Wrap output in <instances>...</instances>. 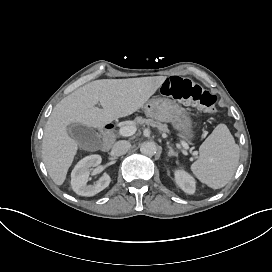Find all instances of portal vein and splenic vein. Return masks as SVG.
I'll list each match as a JSON object with an SVG mask.
<instances>
[{
	"mask_svg": "<svg viewBox=\"0 0 272 272\" xmlns=\"http://www.w3.org/2000/svg\"><path fill=\"white\" fill-rule=\"evenodd\" d=\"M136 129L133 126H122L118 129V135L121 137H128L135 133Z\"/></svg>",
	"mask_w": 272,
	"mask_h": 272,
	"instance_id": "obj_1",
	"label": "portal vein and splenic vein"
}]
</instances>
